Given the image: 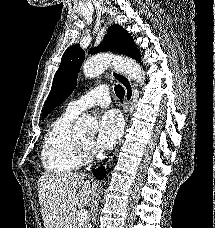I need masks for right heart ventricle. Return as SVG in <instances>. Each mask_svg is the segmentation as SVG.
Returning a JSON list of instances; mask_svg holds the SVG:
<instances>
[{
	"mask_svg": "<svg viewBox=\"0 0 215 228\" xmlns=\"http://www.w3.org/2000/svg\"><path fill=\"white\" fill-rule=\"evenodd\" d=\"M75 117V114L68 111L62 113L51 123L45 133L41 161L44 169L49 173H71L82 163L78 140L72 133Z\"/></svg>",
	"mask_w": 215,
	"mask_h": 228,
	"instance_id": "e07e8e85",
	"label": "right heart ventricle"
}]
</instances>
